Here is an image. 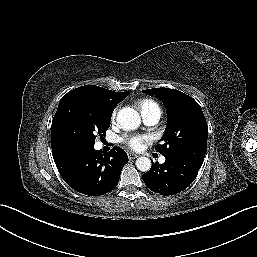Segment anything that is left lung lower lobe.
Returning <instances> with one entry per match:
<instances>
[{
  "label": "left lung lower lobe",
  "mask_w": 257,
  "mask_h": 257,
  "mask_svg": "<svg viewBox=\"0 0 257 257\" xmlns=\"http://www.w3.org/2000/svg\"><path fill=\"white\" fill-rule=\"evenodd\" d=\"M163 164H152L142 175L146 186L161 195H173L186 189L196 178L203 161L189 156L167 155Z\"/></svg>",
  "instance_id": "left-lung-lower-lobe-1"
}]
</instances>
